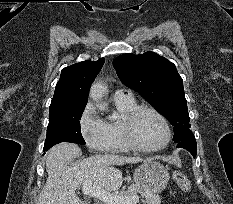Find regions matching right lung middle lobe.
<instances>
[{
	"instance_id": "dd1d6c3e",
	"label": "right lung middle lobe",
	"mask_w": 233,
	"mask_h": 204,
	"mask_svg": "<svg viewBox=\"0 0 233 204\" xmlns=\"http://www.w3.org/2000/svg\"><path fill=\"white\" fill-rule=\"evenodd\" d=\"M85 106L86 103L50 105L49 124L43 150L61 142L85 144L79 122Z\"/></svg>"
}]
</instances>
